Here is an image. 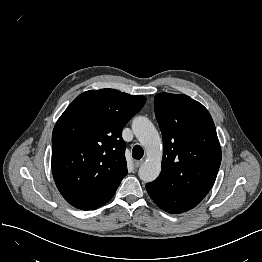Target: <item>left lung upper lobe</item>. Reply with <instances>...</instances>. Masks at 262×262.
<instances>
[{
    "label": "left lung upper lobe",
    "mask_w": 262,
    "mask_h": 262,
    "mask_svg": "<svg viewBox=\"0 0 262 262\" xmlns=\"http://www.w3.org/2000/svg\"><path fill=\"white\" fill-rule=\"evenodd\" d=\"M164 144L162 172L146 185L153 201L178 214L199 204L211 189L221 163V148L211 115L182 94L154 99Z\"/></svg>",
    "instance_id": "1"
}]
</instances>
